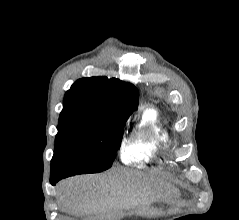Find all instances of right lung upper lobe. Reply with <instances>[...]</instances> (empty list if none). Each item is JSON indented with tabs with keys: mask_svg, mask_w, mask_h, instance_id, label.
<instances>
[{
	"mask_svg": "<svg viewBox=\"0 0 239 220\" xmlns=\"http://www.w3.org/2000/svg\"><path fill=\"white\" fill-rule=\"evenodd\" d=\"M134 85L116 78L77 80L64 97L59 121L108 122L128 119L138 107Z\"/></svg>",
	"mask_w": 239,
	"mask_h": 220,
	"instance_id": "cb5924a9",
	"label": "right lung upper lobe"
}]
</instances>
